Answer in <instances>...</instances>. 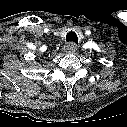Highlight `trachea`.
Returning a JSON list of instances; mask_svg holds the SVG:
<instances>
[{
	"instance_id": "obj_1",
	"label": "trachea",
	"mask_w": 127,
	"mask_h": 127,
	"mask_svg": "<svg viewBox=\"0 0 127 127\" xmlns=\"http://www.w3.org/2000/svg\"><path fill=\"white\" fill-rule=\"evenodd\" d=\"M67 42H73L75 44H78V37L77 34L73 31H70L66 35Z\"/></svg>"
}]
</instances>
